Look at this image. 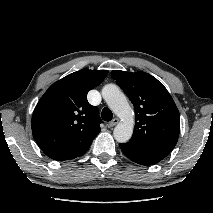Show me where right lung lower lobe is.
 <instances>
[{
	"label": "right lung lower lobe",
	"instance_id": "right-lung-lower-lobe-1",
	"mask_svg": "<svg viewBox=\"0 0 213 213\" xmlns=\"http://www.w3.org/2000/svg\"><path fill=\"white\" fill-rule=\"evenodd\" d=\"M84 153H85V152H84ZM84 153H82V154H80V155H78V156L72 157V158H63V159H59V160H57V161H64V160H68V159H73V158H76V157H79V156L83 155Z\"/></svg>",
	"mask_w": 213,
	"mask_h": 213
}]
</instances>
